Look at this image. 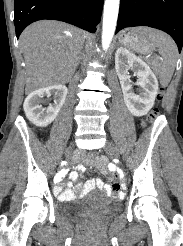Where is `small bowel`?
<instances>
[{
	"mask_svg": "<svg viewBox=\"0 0 183 246\" xmlns=\"http://www.w3.org/2000/svg\"><path fill=\"white\" fill-rule=\"evenodd\" d=\"M77 169L82 171L83 165H78ZM65 174H69L71 183L68 184L66 189H63L61 179H65ZM112 174L114 179L118 178L117 174H123V169H117L116 165L112 166ZM54 194L63 201H68L79 197L94 188L103 189L107 194H110V198H127V193H117L118 191H124V187H133V182H129V178H118V182L104 183L103 180L96 178L89 180L83 187L77 182V173L72 172L71 169H57V174H54ZM74 183V187H72Z\"/></svg>",
	"mask_w": 183,
	"mask_h": 246,
	"instance_id": "c3829d8e",
	"label": "small bowel"
}]
</instances>
